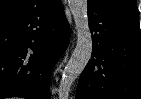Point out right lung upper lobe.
I'll return each mask as SVG.
<instances>
[{"label": "right lung upper lobe", "mask_w": 141, "mask_h": 99, "mask_svg": "<svg viewBox=\"0 0 141 99\" xmlns=\"http://www.w3.org/2000/svg\"><path fill=\"white\" fill-rule=\"evenodd\" d=\"M37 0H0V16L29 6Z\"/></svg>", "instance_id": "cb5924a9"}]
</instances>
